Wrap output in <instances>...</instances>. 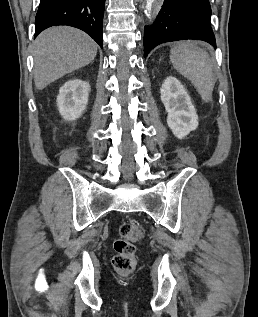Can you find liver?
<instances>
[{
    "label": "liver",
    "mask_w": 258,
    "mask_h": 317,
    "mask_svg": "<svg viewBox=\"0 0 258 317\" xmlns=\"http://www.w3.org/2000/svg\"><path fill=\"white\" fill-rule=\"evenodd\" d=\"M97 46L86 32L72 26H52L40 32L33 42L36 88L41 90L67 72L92 62Z\"/></svg>",
    "instance_id": "6515ba94"
}]
</instances>
